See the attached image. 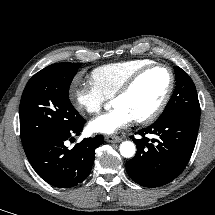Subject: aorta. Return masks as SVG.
Returning a JSON list of instances; mask_svg holds the SVG:
<instances>
[{"instance_id":"aorta-1","label":"aorta","mask_w":215,"mask_h":215,"mask_svg":"<svg viewBox=\"0 0 215 215\" xmlns=\"http://www.w3.org/2000/svg\"><path fill=\"white\" fill-rule=\"evenodd\" d=\"M135 151V145L131 141H124L120 144V153L125 158L134 156Z\"/></svg>"}]
</instances>
